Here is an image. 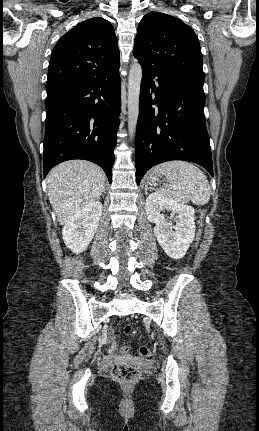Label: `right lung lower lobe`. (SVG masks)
<instances>
[{
  "mask_svg": "<svg viewBox=\"0 0 259 431\" xmlns=\"http://www.w3.org/2000/svg\"><path fill=\"white\" fill-rule=\"evenodd\" d=\"M119 71L47 90L44 177L71 159L94 162L112 178L120 114Z\"/></svg>",
  "mask_w": 259,
  "mask_h": 431,
  "instance_id": "1",
  "label": "right lung lower lobe"
}]
</instances>
